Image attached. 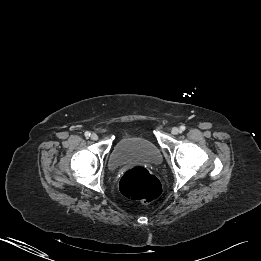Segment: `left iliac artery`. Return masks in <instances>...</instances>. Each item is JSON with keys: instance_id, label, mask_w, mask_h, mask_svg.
<instances>
[{"instance_id": "obj_1", "label": "left iliac artery", "mask_w": 261, "mask_h": 261, "mask_svg": "<svg viewBox=\"0 0 261 261\" xmlns=\"http://www.w3.org/2000/svg\"><path fill=\"white\" fill-rule=\"evenodd\" d=\"M186 127L184 125L180 126V131H185Z\"/></svg>"}]
</instances>
